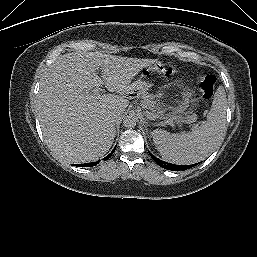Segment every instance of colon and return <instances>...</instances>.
Returning a JSON list of instances; mask_svg holds the SVG:
<instances>
[{
    "label": "colon",
    "mask_w": 257,
    "mask_h": 257,
    "mask_svg": "<svg viewBox=\"0 0 257 257\" xmlns=\"http://www.w3.org/2000/svg\"><path fill=\"white\" fill-rule=\"evenodd\" d=\"M175 73L176 69L173 66L161 62L152 64L147 70V74H160L164 77H171ZM215 86L216 78L213 75H207L200 80L199 90L205 100L213 97Z\"/></svg>",
    "instance_id": "1"
}]
</instances>
